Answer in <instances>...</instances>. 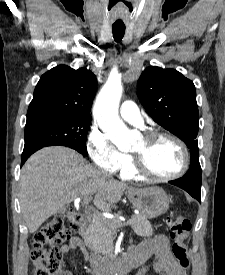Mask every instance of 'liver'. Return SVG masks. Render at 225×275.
Listing matches in <instances>:
<instances>
[{
	"instance_id": "liver-1",
	"label": "liver",
	"mask_w": 225,
	"mask_h": 275,
	"mask_svg": "<svg viewBox=\"0 0 225 275\" xmlns=\"http://www.w3.org/2000/svg\"><path fill=\"white\" fill-rule=\"evenodd\" d=\"M129 188L96 169L75 150L51 146L37 151L24 164L19 200L28 230L34 233L77 198L95 194V206L109 211Z\"/></svg>"
}]
</instances>
